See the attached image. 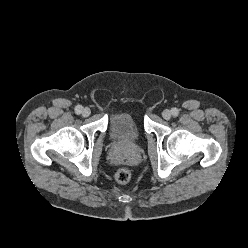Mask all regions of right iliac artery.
<instances>
[{
    "label": "right iliac artery",
    "instance_id": "right-iliac-artery-1",
    "mask_svg": "<svg viewBox=\"0 0 248 248\" xmlns=\"http://www.w3.org/2000/svg\"><path fill=\"white\" fill-rule=\"evenodd\" d=\"M82 109H83V107H82L81 105H77V106L75 107V112H76L77 114H80V113L82 112Z\"/></svg>",
    "mask_w": 248,
    "mask_h": 248
}]
</instances>
